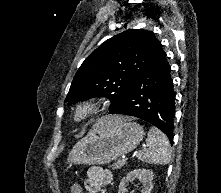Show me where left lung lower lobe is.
<instances>
[{
	"label": "left lung lower lobe",
	"instance_id": "0a47b994",
	"mask_svg": "<svg viewBox=\"0 0 221 193\" xmlns=\"http://www.w3.org/2000/svg\"><path fill=\"white\" fill-rule=\"evenodd\" d=\"M110 114L145 120L163 131L173 143L175 92L166 53L133 81L126 97L110 109Z\"/></svg>",
	"mask_w": 221,
	"mask_h": 193
}]
</instances>
